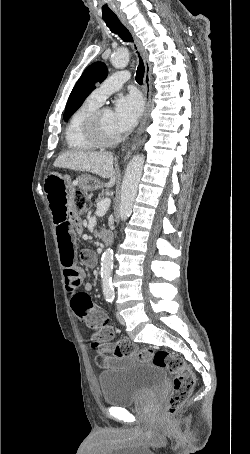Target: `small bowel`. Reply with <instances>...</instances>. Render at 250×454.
<instances>
[{
	"mask_svg": "<svg viewBox=\"0 0 250 454\" xmlns=\"http://www.w3.org/2000/svg\"><path fill=\"white\" fill-rule=\"evenodd\" d=\"M45 193L56 226V235L60 251L63 274L71 306L82 323L87 324L90 316L104 314L92 303L89 293L93 290L90 281H83L84 272L79 267L80 260L87 266L95 264V255L91 250H82L77 255L75 240L82 231L83 222L79 218H68V203L74 186L67 176L49 175L45 181ZM82 286V289L80 287ZM101 367H107L113 360L100 357L97 359Z\"/></svg>",
	"mask_w": 250,
	"mask_h": 454,
	"instance_id": "obj_1",
	"label": "small bowel"
}]
</instances>
